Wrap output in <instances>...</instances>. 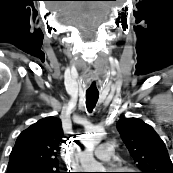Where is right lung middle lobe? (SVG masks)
<instances>
[{
  "label": "right lung middle lobe",
  "mask_w": 173,
  "mask_h": 173,
  "mask_svg": "<svg viewBox=\"0 0 173 173\" xmlns=\"http://www.w3.org/2000/svg\"><path fill=\"white\" fill-rule=\"evenodd\" d=\"M24 173H60L58 170L25 171Z\"/></svg>",
  "instance_id": "right-lung-middle-lobe-1"
}]
</instances>
